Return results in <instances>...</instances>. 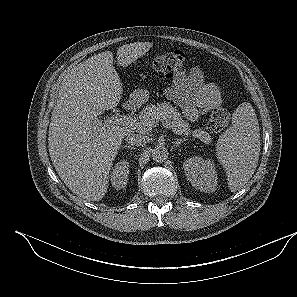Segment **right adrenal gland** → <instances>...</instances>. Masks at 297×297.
Listing matches in <instances>:
<instances>
[{"label":"right adrenal gland","mask_w":297,"mask_h":297,"mask_svg":"<svg viewBox=\"0 0 297 297\" xmlns=\"http://www.w3.org/2000/svg\"><path fill=\"white\" fill-rule=\"evenodd\" d=\"M123 148H126L128 150H134V147H131L130 145H124Z\"/></svg>","instance_id":"1"}]
</instances>
